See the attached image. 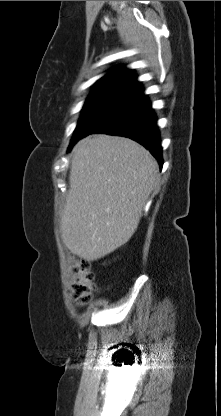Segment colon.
<instances>
[{
  "label": "colon",
  "mask_w": 221,
  "mask_h": 416,
  "mask_svg": "<svg viewBox=\"0 0 221 416\" xmlns=\"http://www.w3.org/2000/svg\"><path fill=\"white\" fill-rule=\"evenodd\" d=\"M72 266L74 281L71 285L70 292L74 303L82 307L91 300L94 276L91 271L90 262L86 259L74 257Z\"/></svg>",
  "instance_id": "colon-1"
}]
</instances>
